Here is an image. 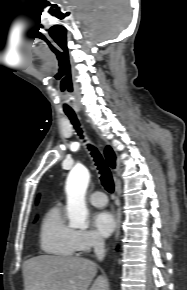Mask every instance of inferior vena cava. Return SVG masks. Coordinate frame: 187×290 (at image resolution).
I'll list each match as a JSON object with an SVG mask.
<instances>
[{
	"label": "inferior vena cava",
	"instance_id": "602c4592",
	"mask_svg": "<svg viewBox=\"0 0 187 290\" xmlns=\"http://www.w3.org/2000/svg\"><path fill=\"white\" fill-rule=\"evenodd\" d=\"M93 246H94V252L97 256V259L102 261L104 259V256H105L104 240L101 237L96 236L93 240Z\"/></svg>",
	"mask_w": 187,
	"mask_h": 290
}]
</instances>
